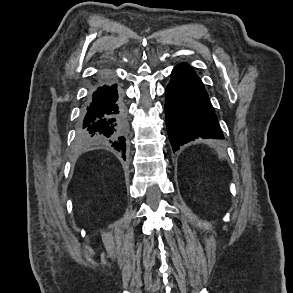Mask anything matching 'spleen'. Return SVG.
Instances as JSON below:
<instances>
[{"mask_svg": "<svg viewBox=\"0 0 293 293\" xmlns=\"http://www.w3.org/2000/svg\"><path fill=\"white\" fill-rule=\"evenodd\" d=\"M216 151L220 159L225 158V153L221 149L218 148Z\"/></svg>", "mask_w": 293, "mask_h": 293, "instance_id": "1", "label": "spleen"}]
</instances>
